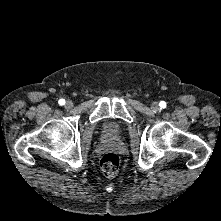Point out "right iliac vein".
Listing matches in <instances>:
<instances>
[{"label": "right iliac vein", "instance_id": "1", "mask_svg": "<svg viewBox=\"0 0 221 221\" xmlns=\"http://www.w3.org/2000/svg\"><path fill=\"white\" fill-rule=\"evenodd\" d=\"M72 107H73V102L71 100L66 101L65 108L69 110Z\"/></svg>", "mask_w": 221, "mask_h": 221}]
</instances>
